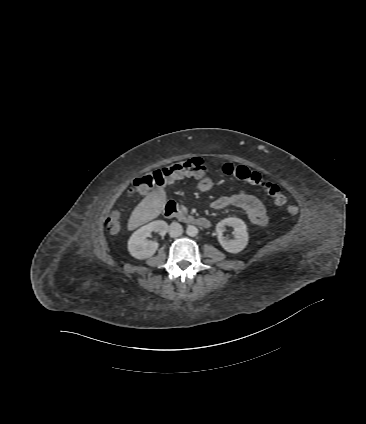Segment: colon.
I'll use <instances>...</instances> for the list:
<instances>
[{"mask_svg": "<svg viewBox=\"0 0 366 424\" xmlns=\"http://www.w3.org/2000/svg\"><path fill=\"white\" fill-rule=\"evenodd\" d=\"M204 169V162L201 158H188L186 160L143 173L134 180L129 192L138 193L154 186L169 184L177 179L199 177L203 174ZM221 171L225 176L262 188L263 191L278 206H283L287 203V198L279 186L265 180L261 174L257 171L251 170L245 165L226 163L222 166ZM286 210L290 216H296L298 214V207L295 204L287 205ZM120 224L121 214L118 209H114L105 221L106 228L111 232H117L120 228Z\"/></svg>", "mask_w": 366, "mask_h": 424, "instance_id": "obj_1", "label": "colon"}]
</instances>
